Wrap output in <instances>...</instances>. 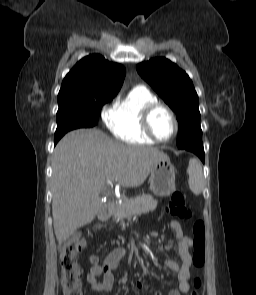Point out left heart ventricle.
<instances>
[{"instance_id":"obj_1","label":"left heart ventricle","mask_w":256,"mask_h":295,"mask_svg":"<svg viewBox=\"0 0 256 295\" xmlns=\"http://www.w3.org/2000/svg\"><path fill=\"white\" fill-rule=\"evenodd\" d=\"M152 129L160 139H169L174 131V124L170 115L163 109L156 110L151 119Z\"/></svg>"}]
</instances>
